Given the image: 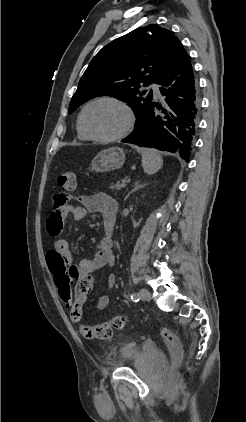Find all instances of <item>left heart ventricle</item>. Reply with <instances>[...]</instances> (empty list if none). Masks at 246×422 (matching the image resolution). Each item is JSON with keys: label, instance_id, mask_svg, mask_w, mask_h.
I'll use <instances>...</instances> for the list:
<instances>
[{"label": "left heart ventricle", "instance_id": "obj_1", "mask_svg": "<svg viewBox=\"0 0 246 422\" xmlns=\"http://www.w3.org/2000/svg\"><path fill=\"white\" fill-rule=\"evenodd\" d=\"M85 121L90 132L97 136H112L126 124L124 111L112 102L92 105L86 112Z\"/></svg>", "mask_w": 246, "mask_h": 422}]
</instances>
